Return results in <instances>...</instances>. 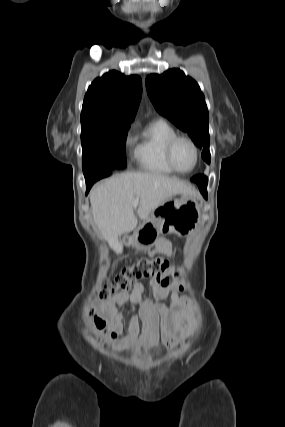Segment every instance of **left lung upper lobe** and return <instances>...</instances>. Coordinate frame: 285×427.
<instances>
[{
    "instance_id": "5c2ea615",
    "label": "left lung upper lobe",
    "mask_w": 285,
    "mask_h": 427,
    "mask_svg": "<svg viewBox=\"0 0 285 427\" xmlns=\"http://www.w3.org/2000/svg\"><path fill=\"white\" fill-rule=\"evenodd\" d=\"M148 95L156 110L187 132L196 146L202 148V158L210 163L209 114L199 85L179 69L146 78Z\"/></svg>"
}]
</instances>
